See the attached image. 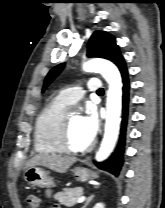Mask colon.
<instances>
[{
  "label": "colon",
  "mask_w": 165,
  "mask_h": 208,
  "mask_svg": "<svg viewBox=\"0 0 165 208\" xmlns=\"http://www.w3.org/2000/svg\"><path fill=\"white\" fill-rule=\"evenodd\" d=\"M27 204H28L29 208H40L41 207L40 198L34 194L28 195Z\"/></svg>",
  "instance_id": "obj_1"
}]
</instances>
